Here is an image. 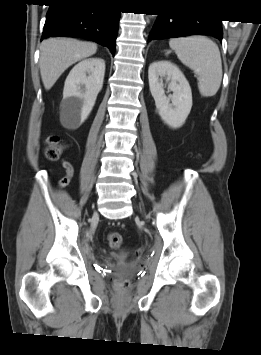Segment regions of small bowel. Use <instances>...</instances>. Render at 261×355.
Masks as SVG:
<instances>
[{"instance_id":"c3829d8e","label":"small bowel","mask_w":261,"mask_h":355,"mask_svg":"<svg viewBox=\"0 0 261 355\" xmlns=\"http://www.w3.org/2000/svg\"><path fill=\"white\" fill-rule=\"evenodd\" d=\"M62 164H63V167L66 170V174H67V171H70L73 174L72 166H71V164L68 161L64 160V161H62Z\"/></svg>"}]
</instances>
